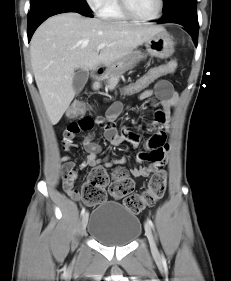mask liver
Here are the masks:
<instances>
[{"label":"liver","instance_id":"liver-1","mask_svg":"<svg viewBox=\"0 0 231 281\" xmlns=\"http://www.w3.org/2000/svg\"><path fill=\"white\" fill-rule=\"evenodd\" d=\"M163 30L160 26L85 18L73 12L47 19L34 33L30 53L35 81L51 124L60 121L75 96L76 69L109 66ZM100 44L106 46L98 51Z\"/></svg>","mask_w":231,"mask_h":281}]
</instances>
